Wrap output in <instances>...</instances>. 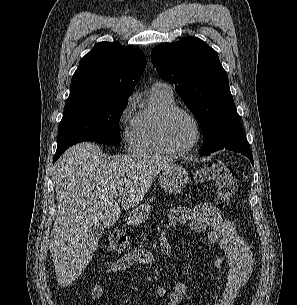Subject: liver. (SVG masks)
I'll return each mask as SVG.
<instances>
[{
  "label": "liver",
  "mask_w": 297,
  "mask_h": 305,
  "mask_svg": "<svg viewBox=\"0 0 297 305\" xmlns=\"http://www.w3.org/2000/svg\"><path fill=\"white\" fill-rule=\"evenodd\" d=\"M83 142L69 148L55 163L58 215L51 231L50 253L58 284L71 285L85 270L98 248L92 225L109 228L120 218L114 196L120 193L124 210L136 207L154 178L173 157L145 154L111 156Z\"/></svg>",
  "instance_id": "1"
}]
</instances>
